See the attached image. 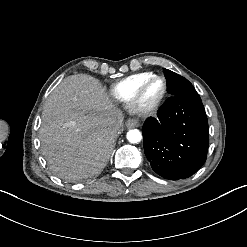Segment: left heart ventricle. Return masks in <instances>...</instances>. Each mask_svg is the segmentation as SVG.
Here are the masks:
<instances>
[{"label": "left heart ventricle", "instance_id": "obj_1", "mask_svg": "<svg viewBox=\"0 0 247 247\" xmlns=\"http://www.w3.org/2000/svg\"><path fill=\"white\" fill-rule=\"evenodd\" d=\"M164 83L160 80L150 82L144 89L142 94V102L145 105L155 102L163 93Z\"/></svg>", "mask_w": 247, "mask_h": 247}]
</instances>
